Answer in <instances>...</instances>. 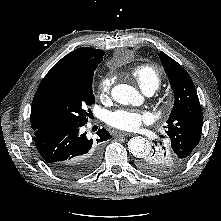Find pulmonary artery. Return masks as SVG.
Listing matches in <instances>:
<instances>
[{"instance_id":"e3ab8cb5","label":"pulmonary artery","mask_w":221,"mask_h":221,"mask_svg":"<svg viewBox=\"0 0 221 221\" xmlns=\"http://www.w3.org/2000/svg\"><path fill=\"white\" fill-rule=\"evenodd\" d=\"M144 93L146 94V95H152L153 93H154V90H151V89H147V90H144Z\"/></svg>"}]
</instances>
